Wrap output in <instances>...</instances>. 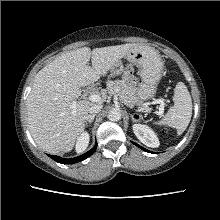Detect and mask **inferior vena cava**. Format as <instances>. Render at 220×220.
I'll use <instances>...</instances> for the list:
<instances>
[{
	"label": "inferior vena cava",
	"mask_w": 220,
	"mask_h": 220,
	"mask_svg": "<svg viewBox=\"0 0 220 220\" xmlns=\"http://www.w3.org/2000/svg\"><path fill=\"white\" fill-rule=\"evenodd\" d=\"M101 108H102V105H100V104H97V105H94V106L90 107L89 110H88L89 114L86 117L87 121H90L91 116L95 115L96 113H98L101 110Z\"/></svg>",
	"instance_id": "obj_1"
}]
</instances>
